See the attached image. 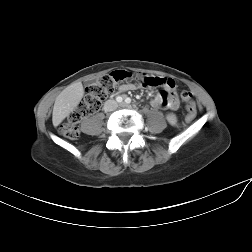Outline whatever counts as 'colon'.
Returning <instances> with one entry per match:
<instances>
[{"mask_svg":"<svg viewBox=\"0 0 252 252\" xmlns=\"http://www.w3.org/2000/svg\"><path fill=\"white\" fill-rule=\"evenodd\" d=\"M131 81H137L143 86H156V84L151 82L147 76L140 73L133 74L129 71L117 70L106 74L88 87L84 98L76 105L74 110L68 116L66 122L60 125V134L69 139L78 138L79 130L77 125L79 122L83 118L98 111L105 98L114 93L116 90L123 89V87ZM181 98L186 104V120L192 121L196 116V106L193 96L189 91H183Z\"/></svg>","mask_w":252,"mask_h":252,"instance_id":"obj_1","label":"colon"}]
</instances>
